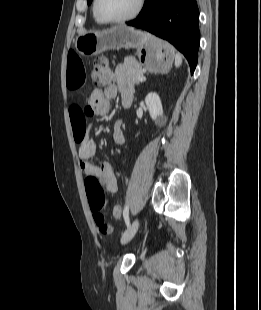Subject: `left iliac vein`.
<instances>
[{
	"label": "left iliac vein",
	"instance_id": "1",
	"mask_svg": "<svg viewBox=\"0 0 261 310\" xmlns=\"http://www.w3.org/2000/svg\"><path fill=\"white\" fill-rule=\"evenodd\" d=\"M139 227V219L136 218L132 222V224L127 228L126 232L123 234L121 238V243L126 244L128 243L136 234Z\"/></svg>",
	"mask_w": 261,
	"mask_h": 310
}]
</instances>
